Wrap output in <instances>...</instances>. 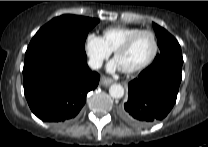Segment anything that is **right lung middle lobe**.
<instances>
[{
  "label": "right lung middle lobe",
  "mask_w": 208,
  "mask_h": 147,
  "mask_svg": "<svg viewBox=\"0 0 208 147\" xmlns=\"http://www.w3.org/2000/svg\"><path fill=\"white\" fill-rule=\"evenodd\" d=\"M99 22V19L65 14L52 19L32 38L29 45L48 41L57 37L68 38L85 46L88 32Z\"/></svg>",
  "instance_id": "right-lung-middle-lobe-1"
}]
</instances>
